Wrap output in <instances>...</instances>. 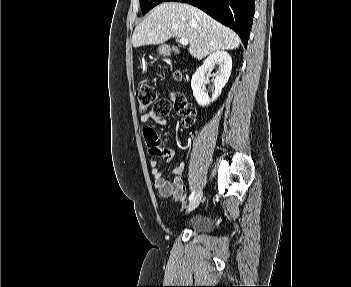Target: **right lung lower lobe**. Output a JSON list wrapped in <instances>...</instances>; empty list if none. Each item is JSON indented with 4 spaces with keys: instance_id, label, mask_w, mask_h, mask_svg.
<instances>
[{
    "instance_id": "obj_1",
    "label": "right lung lower lobe",
    "mask_w": 351,
    "mask_h": 287,
    "mask_svg": "<svg viewBox=\"0 0 351 287\" xmlns=\"http://www.w3.org/2000/svg\"><path fill=\"white\" fill-rule=\"evenodd\" d=\"M188 3L198 7L217 21L233 29L245 48L252 27L255 0H165Z\"/></svg>"
}]
</instances>
